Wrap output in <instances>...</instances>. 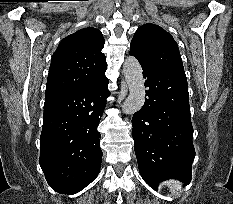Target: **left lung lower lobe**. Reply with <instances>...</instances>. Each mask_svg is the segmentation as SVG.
Wrapping results in <instances>:
<instances>
[{
	"label": "left lung lower lobe",
	"instance_id": "0a47b994",
	"mask_svg": "<svg viewBox=\"0 0 233 204\" xmlns=\"http://www.w3.org/2000/svg\"><path fill=\"white\" fill-rule=\"evenodd\" d=\"M139 62L148 88L144 106L132 119L140 174L155 190L169 178L187 185L195 150L186 76Z\"/></svg>",
	"mask_w": 233,
	"mask_h": 204
}]
</instances>
